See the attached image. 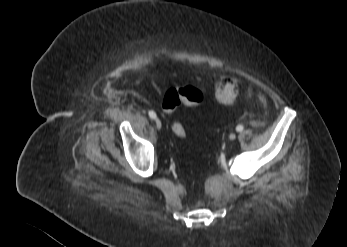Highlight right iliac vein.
Masks as SVG:
<instances>
[{"label":"right iliac vein","instance_id":"obj_1","mask_svg":"<svg viewBox=\"0 0 347 247\" xmlns=\"http://www.w3.org/2000/svg\"><path fill=\"white\" fill-rule=\"evenodd\" d=\"M155 125H156V127H157L158 129H161V128H162V123H161V121H160L159 119H156V120H155Z\"/></svg>","mask_w":347,"mask_h":247}]
</instances>
